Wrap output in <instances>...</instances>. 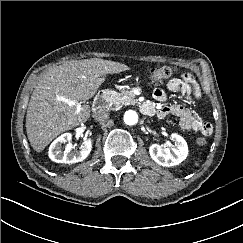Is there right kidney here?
Instances as JSON below:
<instances>
[{
    "instance_id": "ca27d5eb",
    "label": "right kidney",
    "mask_w": 243,
    "mask_h": 243,
    "mask_svg": "<svg viewBox=\"0 0 243 243\" xmlns=\"http://www.w3.org/2000/svg\"><path fill=\"white\" fill-rule=\"evenodd\" d=\"M72 134L64 133L55 139L49 147V158L57 163H77L87 158L92 149L91 139H86L80 151H72L73 145L71 143ZM68 142L65 150H62V144Z\"/></svg>"
}]
</instances>
